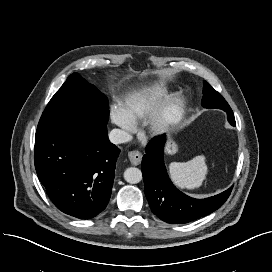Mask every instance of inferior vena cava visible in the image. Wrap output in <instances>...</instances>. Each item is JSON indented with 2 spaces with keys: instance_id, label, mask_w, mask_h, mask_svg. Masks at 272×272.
<instances>
[{
  "instance_id": "obj_1",
  "label": "inferior vena cava",
  "mask_w": 272,
  "mask_h": 272,
  "mask_svg": "<svg viewBox=\"0 0 272 272\" xmlns=\"http://www.w3.org/2000/svg\"><path fill=\"white\" fill-rule=\"evenodd\" d=\"M109 140L111 143L117 145L128 142L130 140V135L124 130L113 129L109 133Z\"/></svg>"
}]
</instances>
